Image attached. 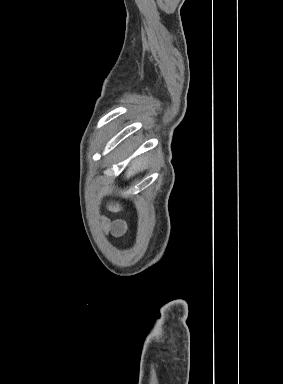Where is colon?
Listing matches in <instances>:
<instances>
[{"mask_svg":"<svg viewBox=\"0 0 283 384\" xmlns=\"http://www.w3.org/2000/svg\"><path fill=\"white\" fill-rule=\"evenodd\" d=\"M123 229H124V226L121 223H118L115 225V232L116 233H118V234L121 233L123 231Z\"/></svg>","mask_w":283,"mask_h":384,"instance_id":"colon-1","label":"colon"}]
</instances>
